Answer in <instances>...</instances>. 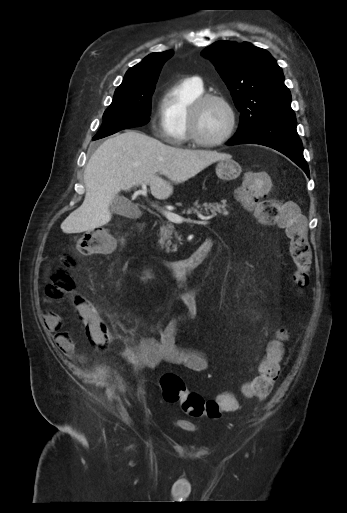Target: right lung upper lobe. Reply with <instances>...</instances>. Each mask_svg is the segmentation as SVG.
<instances>
[{"mask_svg": "<svg viewBox=\"0 0 347 513\" xmlns=\"http://www.w3.org/2000/svg\"><path fill=\"white\" fill-rule=\"evenodd\" d=\"M173 55V51L152 53L140 63L130 68L118 88H137L157 81L163 64Z\"/></svg>", "mask_w": 347, "mask_h": 513, "instance_id": "right-lung-upper-lobe-1", "label": "right lung upper lobe"}]
</instances>
